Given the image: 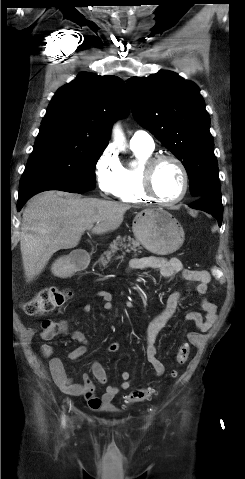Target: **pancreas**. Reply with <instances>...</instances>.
Segmentation results:
<instances>
[{"label":"pancreas","mask_w":245,"mask_h":479,"mask_svg":"<svg viewBox=\"0 0 245 479\" xmlns=\"http://www.w3.org/2000/svg\"><path fill=\"white\" fill-rule=\"evenodd\" d=\"M128 242L126 244L125 242ZM140 246V243L135 240L134 238H131L130 236H118L109 246V250L105 251L100 258V264L102 266H107V264L111 261L112 257L114 254L119 250V248H124L126 249L127 252H130L131 250L134 251L135 253L137 252V247Z\"/></svg>","instance_id":"obj_1"}]
</instances>
